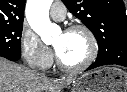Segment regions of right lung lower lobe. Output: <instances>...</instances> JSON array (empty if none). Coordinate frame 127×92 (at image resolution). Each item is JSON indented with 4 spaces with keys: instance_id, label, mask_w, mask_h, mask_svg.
<instances>
[{
    "instance_id": "right-lung-lower-lobe-1",
    "label": "right lung lower lobe",
    "mask_w": 127,
    "mask_h": 92,
    "mask_svg": "<svg viewBox=\"0 0 127 92\" xmlns=\"http://www.w3.org/2000/svg\"><path fill=\"white\" fill-rule=\"evenodd\" d=\"M0 56L9 59L11 61H17L18 59H20L21 54L5 52L4 50H0Z\"/></svg>"
}]
</instances>
